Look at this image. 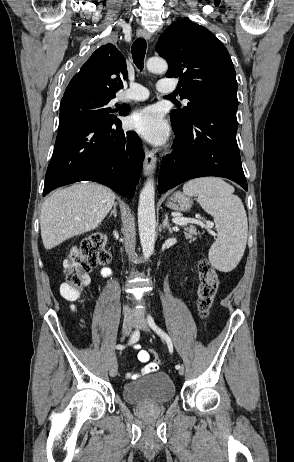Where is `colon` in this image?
Returning a JSON list of instances; mask_svg holds the SVG:
<instances>
[{"label":"colon","mask_w":294,"mask_h":462,"mask_svg":"<svg viewBox=\"0 0 294 462\" xmlns=\"http://www.w3.org/2000/svg\"><path fill=\"white\" fill-rule=\"evenodd\" d=\"M111 255L106 248L103 235H94L84 239L78 246L69 250L64 262V282L60 287L61 295L69 301L77 300L88 282L87 273L95 266L106 264ZM199 287L197 307L202 318H207L213 306L219 287V277L215 269L206 260L198 264ZM153 361L159 362V355L151 351Z\"/></svg>","instance_id":"5ec220e1"}]
</instances>
